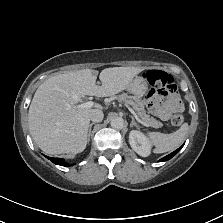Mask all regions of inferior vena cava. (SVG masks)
Listing matches in <instances>:
<instances>
[{
  "mask_svg": "<svg viewBox=\"0 0 223 223\" xmlns=\"http://www.w3.org/2000/svg\"><path fill=\"white\" fill-rule=\"evenodd\" d=\"M104 114L100 109H93L90 113V120L94 122H101L103 120Z\"/></svg>",
  "mask_w": 223,
  "mask_h": 223,
  "instance_id": "obj_1",
  "label": "inferior vena cava"
}]
</instances>
